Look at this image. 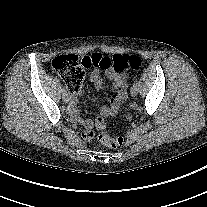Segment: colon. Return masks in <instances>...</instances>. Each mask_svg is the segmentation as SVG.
Wrapping results in <instances>:
<instances>
[{
	"mask_svg": "<svg viewBox=\"0 0 207 207\" xmlns=\"http://www.w3.org/2000/svg\"><path fill=\"white\" fill-rule=\"evenodd\" d=\"M53 69L61 76L67 89L70 92H77L80 90L85 70L91 67L99 68L107 71L112 69L117 72L125 70H137L142 65V60L139 56L133 54H116L113 56H105L101 54H93L79 58L75 55H60L52 61ZM95 126L101 132L98 135V140L109 148L116 149L124 144V137H110L106 132L105 121L98 117L95 121ZM94 132L86 130L83 133V138L92 140Z\"/></svg>",
	"mask_w": 207,
	"mask_h": 207,
	"instance_id": "5ec220e1",
	"label": "colon"
}]
</instances>
